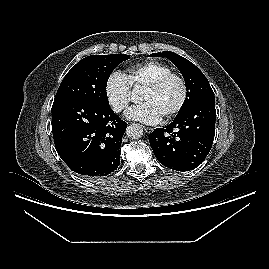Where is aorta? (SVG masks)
Listing matches in <instances>:
<instances>
[{
    "label": "aorta",
    "mask_w": 269,
    "mask_h": 269,
    "mask_svg": "<svg viewBox=\"0 0 269 269\" xmlns=\"http://www.w3.org/2000/svg\"><path fill=\"white\" fill-rule=\"evenodd\" d=\"M126 134L132 140L139 139L143 135V128L139 124H131L127 127Z\"/></svg>",
    "instance_id": "1"
}]
</instances>
